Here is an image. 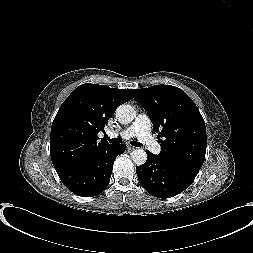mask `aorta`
Returning <instances> with one entry per match:
<instances>
[{"label": "aorta", "mask_w": 253, "mask_h": 253, "mask_svg": "<svg viewBox=\"0 0 253 253\" xmlns=\"http://www.w3.org/2000/svg\"><path fill=\"white\" fill-rule=\"evenodd\" d=\"M135 117V109L129 104H122L116 110V118L122 124L131 123ZM131 158L136 165H142L147 160V154L143 149H135L131 153Z\"/></svg>", "instance_id": "aorta-1"}]
</instances>
